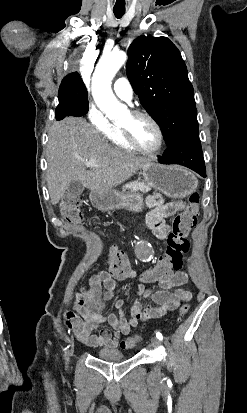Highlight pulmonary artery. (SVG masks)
Listing matches in <instances>:
<instances>
[{
  "label": "pulmonary artery",
  "instance_id": "pulmonary-artery-1",
  "mask_svg": "<svg viewBox=\"0 0 247 413\" xmlns=\"http://www.w3.org/2000/svg\"><path fill=\"white\" fill-rule=\"evenodd\" d=\"M113 90L120 99L125 101H130L134 93L131 81L125 76H121L114 81Z\"/></svg>",
  "mask_w": 247,
  "mask_h": 413
}]
</instances>
